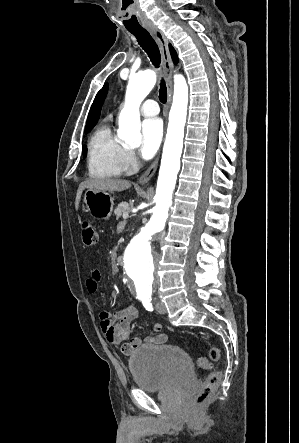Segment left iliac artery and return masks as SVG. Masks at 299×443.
Returning <instances> with one entry per match:
<instances>
[{"label": "left iliac artery", "instance_id": "obj_1", "mask_svg": "<svg viewBox=\"0 0 299 443\" xmlns=\"http://www.w3.org/2000/svg\"><path fill=\"white\" fill-rule=\"evenodd\" d=\"M142 304L146 308V310L153 311V305L151 303V299L142 300Z\"/></svg>", "mask_w": 299, "mask_h": 443}]
</instances>
